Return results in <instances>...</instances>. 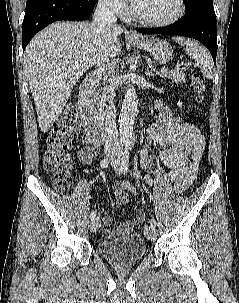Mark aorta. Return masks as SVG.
<instances>
[{
    "instance_id": "1",
    "label": "aorta",
    "mask_w": 239,
    "mask_h": 303,
    "mask_svg": "<svg viewBox=\"0 0 239 303\" xmlns=\"http://www.w3.org/2000/svg\"><path fill=\"white\" fill-rule=\"evenodd\" d=\"M138 110V100L134 86L129 85L123 99L119 116V133L121 141L130 142L132 138L133 125Z\"/></svg>"
}]
</instances>
